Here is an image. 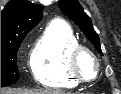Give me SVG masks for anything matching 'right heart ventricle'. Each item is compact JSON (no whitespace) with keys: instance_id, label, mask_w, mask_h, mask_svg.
I'll return each instance as SVG.
<instances>
[{"instance_id":"right-heart-ventricle-1","label":"right heart ventricle","mask_w":121,"mask_h":94,"mask_svg":"<svg viewBox=\"0 0 121 94\" xmlns=\"http://www.w3.org/2000/svg\"><path fill=\"white\" fill-rule=\"evenodd\" d=\"M69 24L54 20L36 39L29 59L34 80L49 89H71L77 85L68 68L69 54L79 45Z\"/></svg>"}]
</instances>
